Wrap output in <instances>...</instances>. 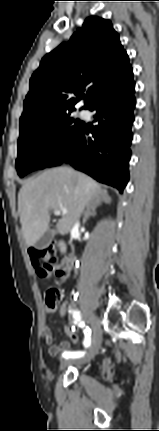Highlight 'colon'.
<instances>
[{"mask_svg":"<svg viewBox=\"0 0 159 431\" xmlns=\"http://www.w3.org/2000/svg\"><path fill=\"white\" fill-rule=\"evenodd\" d=\"M33 265L40 277H47L54 270L57 263V256L52 248H44L40 250H34L31 254ZM62 290L58 285L50 286L45 294V304L48 313H53L58 303L62 298ZM65 332V338H69V342L73 346L79 345L80 335L76 333L75 329H72L69 325L63 328Z\"/></svg>","mask_w":159,"mask_h":431,"instance_id":"obj_1","label":"colon"}]
</instances>
